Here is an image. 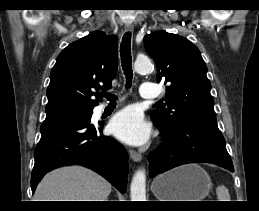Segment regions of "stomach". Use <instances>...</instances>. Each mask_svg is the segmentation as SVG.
I'll list each match as a JSON object with an SVG mask.
<instances>
[{
    "label": "stomach",
    "instance_id": "stomach-1",
    "mask_svg": "<svg viewBox=\"0 0 259 211\" xmlns=\"http://www.w3.org/2000/svg\"><path fill=\"white\" fill-rule=\"evenodd\" d=\"M212 182L197 164H188L158 176L151 189L159 201H202L208 196Z\"/></svg>",
    "mask_w": 259,
    "mask_h": 211
}]
</instances>
